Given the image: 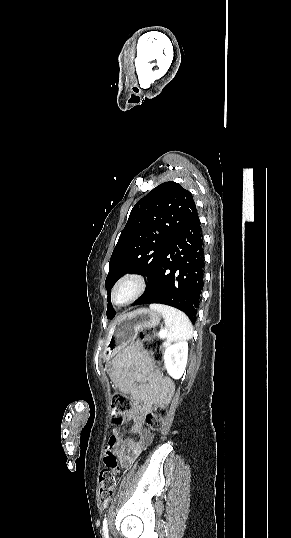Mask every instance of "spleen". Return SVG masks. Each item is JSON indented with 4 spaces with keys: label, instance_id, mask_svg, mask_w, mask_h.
<instances>
[{
    "label": "spleen",
    "instance_id": "1",
    "mask_svg": "<svg viewBox=\"0 0 291 538\" xmlns=\"http://www.w3.org/2000/svg\"><path fill=\"white\" fill-rule=\"evenodd\" d=\"M150 309L162 314L169 342L186 340L192 337L193 327L186 314L176 308L162 304H151Z\"/></svg>",
    "mask_w": 291,
    "mask_h": 538
}]
</instances>
